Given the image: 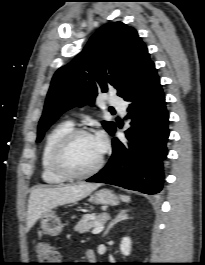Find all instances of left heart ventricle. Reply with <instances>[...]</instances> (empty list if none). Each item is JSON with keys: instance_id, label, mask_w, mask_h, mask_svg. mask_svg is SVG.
I'll return each mask as SVG.
<instances>
[{"instance_id": "1", "label": "left heart ventricle", "mask_w": 205, "mask_h": 265, "mask_svg": "<svg viewBox=\"0 0 205 265\" xmlns=\"http://www.w3.org/2000/svg\"><path fill=\"white\" fill-rule=\"evenodd\" d=\"M101 152L94 137L80 136L69 145L65 156V165L73 172L82 173L91 169L99 160Z\"/></svg>"}]
</instances>
